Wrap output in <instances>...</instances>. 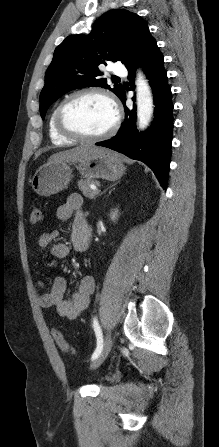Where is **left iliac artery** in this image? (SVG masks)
Returning a JSON list of instances; mask_svg holds the SVG:
<instances>
[{"label": "left iliac artery", "mask_w": 219, "mask_h": 447, "mask_svg": "<svg viewBox=\"0 0 219 447\" xmlns=\"http://www.w3.org/2000/svg\"><path fill=\"white\" fill-rule=\"evenodd\" d=\"M93 328H94V331H95V334H96V338H97V347H96V349H95V351H94V353H93V355L91 357V360H95L99 356V354L101 352V349H102V346H103L102 331H101V328L99 326V323H98L96 317L93 320Z\"/></svg>", "instance_id": "left-iliac-artery-1"}]
</instances>
